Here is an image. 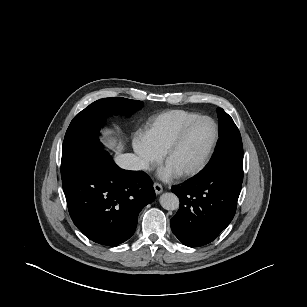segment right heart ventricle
I'll return each instance as SVG.
<instances>
[{
    "mask_svg": "<svg viewBox=\"0 0 307 307\" xmlns=\"http://www.w3.org/2000/svg\"><path fill=\"white\" fill-rule=\"evenodd\" d=\"M201 116L187 110H170L153 118L144 134L149 144L163 154L178 131L189 121Z\"/></svg>",
    "mask_w": 307,
    "mask_h": 307,
    "instance_id": "obj_1",
    "label": "right heart ventricle"
}]
</instances>
